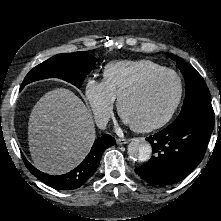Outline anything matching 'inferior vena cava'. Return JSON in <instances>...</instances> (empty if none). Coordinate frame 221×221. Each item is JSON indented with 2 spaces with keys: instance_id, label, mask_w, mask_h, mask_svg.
<instances>
[{
  "instance_id": "602c4592",
  "label": "inferior vena cava",
  "mask_w": 221,
  "mask_h": 221,
  "mask_svg": "<svg viewBox=\"0 0 221 221\" xmlns=\"http://www.w3.org/2000/svg\"><path fill=\"white\" fill-rule=\"evenodd\" d=\"M97 126L100 129H106L107 127V123H108V118L104 117V118H99L96 120Z\"/></svg>"
}]
</instances>
